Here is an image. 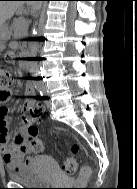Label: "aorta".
Segmentation results:
<instances>
[{
    "instance_id": "762f6f07",
    "label": "aorta",
    "mask_w": 137,
    "mask_h": 189,
    "mask_svg": "<svg viewBox=\"0 0 137 189\" xmlns=\"http://www.w3.org/2000/svg\"><path fill=\"white\" fill-rule=\"evenodd\" d=\"M39 35V34H38ZM31 44H30V49H31V54H35L36 53V51H37V49H38V36L37 35H32L31 36ZM39 66H38V64H37V62L35 61L33 64H32V66H31V75H33V82H43V79H42V73H40L39 71H38V68Z\"/></svg>"
}]
</instances>
